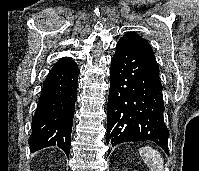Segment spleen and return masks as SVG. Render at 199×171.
Here are the masks:
<instances>
[{
  "mask_svg": "<svg viewBox=\"0 0 199 171\" xmlns=\"http://www.w3.org/2000/svg\"><path fill=\"white\" fill-rule=\"evenodd\" d=\"M139 152L150 171H164L163 158L157 150L146 146L141 148Z\"/></svg>",
  "mask_w": 199,
  "mask_h": 171,
  "instance_id": "1",
  "label": "spleen"
}]
</instances>
